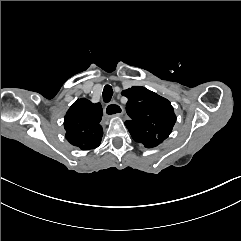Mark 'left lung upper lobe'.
I'll list each match as a JSON object with an SVG mask.
<instances>
[{
  "mask_svg": "<svg viewBox=\"0 0 241 241\" xmlns=\"http://www.w3.org/2000/svg\"><path fill=\"white\" fill-rule=\"evenodd\" d=\"M128 98L125 122L134 141L147 148L159 145L172 131L176 121L171 103L158 94L141 86L122 91Z\"/></svg>",
  "mask_w": 241,
  "mask_h": 241,
  "instance_id": "obj_1",
  "label": "left lung upper lobe"
}]
</instances>
